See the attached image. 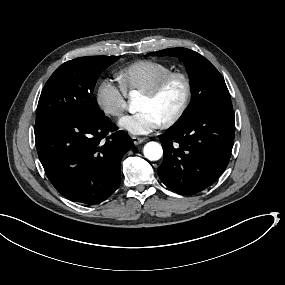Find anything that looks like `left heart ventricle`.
<instances>
[{
	"instance_id": "obj_1",
	"label": "left heart ventricle",
	"mask_w": 285,
	"mask_h": 285,
	"mask_svg": "<svg viewBox=\"0 0 285 285\" xmlns=\"http://www.w3.org/2000/svg\"><path fill=\"white\" fill-rule=\"evenodd\" d=\"M178 99L179 86L175 84L142 102L156 115L158 121L161 122L174 110Z\"/></svg>"
}]
</instances>
